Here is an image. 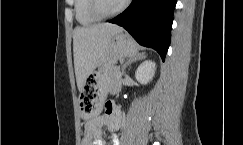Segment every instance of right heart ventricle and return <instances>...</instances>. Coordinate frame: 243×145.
I'll list each match as a JSON object with an SVG mask.
<instances>
[{
    "mask_svg": "<svg viewBox=\"0 0 243 145\" xmlns=\"http://www.w3.org/2000/svg\"><path fill=\"white\" fill-rule=\"evenodd\" d=\"M89 4V0H75V17L80 25L90 26L99 21V19L90 12Z\"/></svg>",
    "mask_w": 243,
    "mask_h": 145,
    "instance_id": "obj_1",
    "label": "right heart ventricle"
}]
</instances>
